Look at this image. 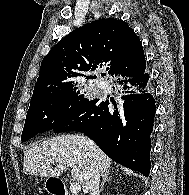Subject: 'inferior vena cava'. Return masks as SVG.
Segmentation results:
<instances>
[{
	"mask_svg": "<svg viewBox=\"0 0 189 195\" xmlns=\"http://www.w3.org/2000/svg\"><path fill=\"white\" fill-rule=\"evenodd\" d=\"M99 184H100V171L97 168L91 176L90 189H89L90 195H99L100 193Z\"/></svg>",
	"mask_w": 189,
	"mask_h": 195,
	"instance_id": "obj_1",
	"label": "inferior vena cava"
}]
</instances>
